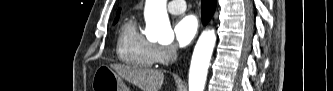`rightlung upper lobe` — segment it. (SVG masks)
I'll list each match as a JSON object with an SVG mask.
<instances>
[{
	"label": "right lung upper lobe",
	"mask_w": 333,
	"mask_h": 91,
	"mask_svg": "<svg viewBox=\"0 0 333 91\" xmlns=\"http://www.w3.org/2000/svg\"><path fill=\"white\" fill-rule=\"evenodd\" d=\"M119 13H120V9L117 11V14H119ZM116 18H119V17L117 16Z\"/></svg>",
	"instance_id": "cb5924a9"
}]
</instances>
